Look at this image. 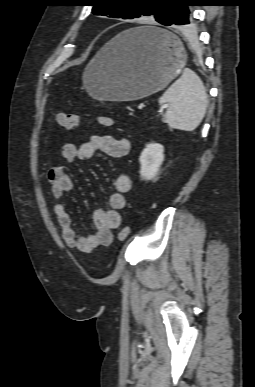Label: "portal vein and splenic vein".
<instances>
[{
  "label": "portal vein and splenic vein",
  "instance_id": "obj_1",
  "mask_svg": "<svg viewBox=\"0 0 255 387\" xmlns=\"http://www.w3.org/2000/svg\"><path fill=\"white\" fill-rule=\"evenodd\" d=\"M167 107H168V105L165 104V105H162L160 109H161V110H164V109H166Z\"/></svg>",
  "mask_w": 255,
  "mask_h": 387
}]
</instances>
